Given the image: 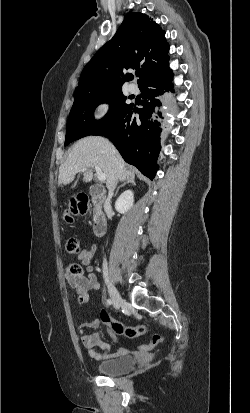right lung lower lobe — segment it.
<instances>
[{
  "instance_id": "obj_1",
  "label": "right lung lower lobe",
  "mask_w": 250,
  "mask_h": 413,
  "mask_svg": "<svg viewBox=\"0 0 250 413\" xmlns=\"http://www.w3.org/2000/svg\"><path fill=\"white\" fill-rule=\"evenodd\" d=\"M170 70L146 78L140 85L144 93L142 108L129 104L104 127L92 135L109 138L118 149L123 159L136 166L151 180L155 177L158 166L155 164L160 151L161 112L159 96L165 90H171ZM138 113L139 118L134 117ZM154 166L155 169L153 168Z\"/></svg>"
}]
</instances>
